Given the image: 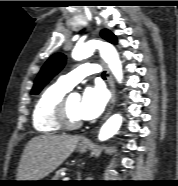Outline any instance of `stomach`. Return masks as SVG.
<instances>
[{"instance_id": "stomach-1", "label": "stomach", "mask_w": 178, "mask_h": 186, "mask_svg": "<svg viewBox=\"0 0 178 186\" xmlns=\"http://www.w3.org/2000/svg\"><path fill=\"white\" fill-rule=\"evenodd\" d=\"M90 148V143L88 142H81L79 143L77 149L80 153H85L88 149ZM37 181H41V180H37Z\"/></svg>"}]
</instances>
